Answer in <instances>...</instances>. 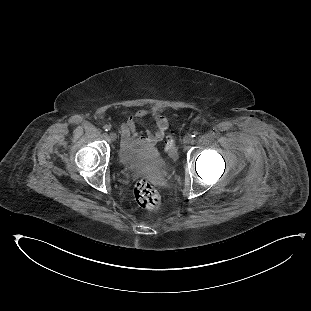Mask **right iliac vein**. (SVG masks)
<instances>
[{
	"instance_id": "right-iliac-vein-1",
	"label": "right iliac vein",
	"mask_w": 311,
	"mask_h": 311,
	"mask_svg": "<svg viewBox=\"0 0 311 311\" xmlns=\"http://www.w3.org/2000/svg\"><path fill=\"white\" fill-rule=\"evenodd\" d=\"M109 138H110V140L115 141V140L117 139L116 133L110 132V133H109Z\"/></svg>"
}]
</instances>
